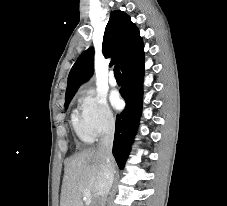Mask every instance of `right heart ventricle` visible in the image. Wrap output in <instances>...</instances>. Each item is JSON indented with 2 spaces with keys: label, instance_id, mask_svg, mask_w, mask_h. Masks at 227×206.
<instances>
[{
  "label": "right heart ventricle",
  "instance_id": "obj_1",
  "mask_svg": "<svg viewBox=\"0 0 227 206\" xmlns=\"http://www.w3.org/2000/svg\"><path fill=\"white\" fill-rule=\"evenodd\" d=\"M72 124L76 135L81 141L85 143H89L92 141L93 138L86 130L81 117H79L76 113H73L72 115Z\"/></svg>",
  "mask_w": 227,
  "mask_h": 206
}]
</instances>
